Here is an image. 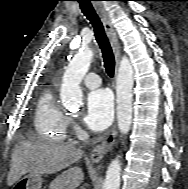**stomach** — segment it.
<instances>
[{"label": "stomach", "instance_id": "stomach-1", "mask_svg": "<svg viewBox=\"0 0 188 189\" xmlns=\"http://www.w3.org/2000/svg\"><path fill=\"white\" fill-rule=\"evenodd\" d=\"M43 181L41 174L28 173L14 184L13 189H41Z\"/></svg>", "mask_w": 188, "mask_h": 189}]
</instances>
